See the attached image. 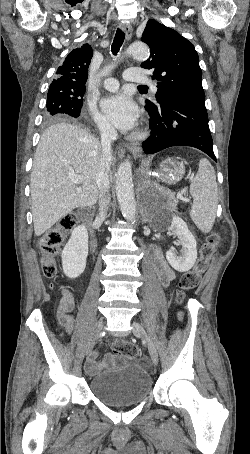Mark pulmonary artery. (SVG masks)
I'll return each mask as SVG.
<instances>
[{
  "label": "pulmonary artery",
  "instance_id": "e3ab8cb5",
  "mask_svg": "<svg viewBox=\"0 0 250 454\" xmlns=\"http://www.w3.org/2000/svg\"><path fill=\"white\" fill-rule=\"evenodd\" d=\"M123 79L127 82H139L142 84H150L152 90L157 91L156 85L143 73V71L130 68L123 74ZM104 88L108 91H116L120 87V82L115 78H107L104 83Z\"/></svg>",
  "mask_w": 250,
  "mask_h": 454
}]
</instances>
